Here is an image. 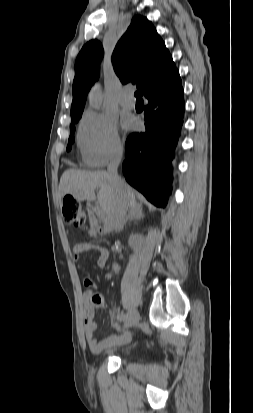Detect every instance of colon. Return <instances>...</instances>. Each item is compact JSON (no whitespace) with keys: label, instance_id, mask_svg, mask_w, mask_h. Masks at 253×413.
Here are the masks:
<instances>
[{"label":"colon","instance_id":"obj_1","mask_svg":"<svg viewBox=\"0 0 253 413\" xmlns=\"http://www.w3.org/2000/svg\"><path fill=\"white\" fill-rule=\"evenodd\" d=\"M62 215L66 222L76 225H82L86 220L85 213L80 204L70 197H66L63 201ZM89 299L90 303L95 307H99L103 303L101 294L95 288L90 290Z\"/></svg>","mask_w":253,"mask_h":413}]
</instances>
